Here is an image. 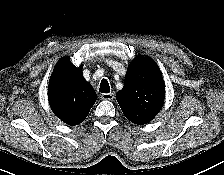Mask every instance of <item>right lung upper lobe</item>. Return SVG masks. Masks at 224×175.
Returning a JSON list of instances; mask_svg holds the SVG:
<instances>
[{
    "label": "right lung upper lobe",
    "instance_id": "obj_1",
    "mask_svg": "<svg viewBox=\"0 0 224 175\" xmlns=\"http://www.w3.org/2000/svg\"><path fill=\"white\" fill-rule=\"evenodd\" d=\"M48 90L52 111L68 125L82 123L97 98L93 87L82 77V67H75L69 57L56 64Z\"/></svg>",
    "mask_w": 224,
    "mask_h": 175
}]
</instances>
